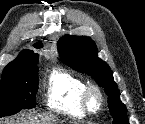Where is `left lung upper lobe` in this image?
<instances>
[{
    "label": "left lung upper lobe",
    "mask_w": 145,
    "mask_h": 124,
    "mask_svg": "<svg viewBox=\"0 0 145 124\" xmlns=\"http://www.w3.org/2000/svg\"><path fill=\"white\" fill-rule=\"evenodd\" d=\"M61 60L72 69L93 77L108 95V106L113 124H129L126 107L113 80L110 67L97 57V47L88 37L64 36L58 41Z\"/></svg>",
    "instance_id": "left-lung-upper-lobe-1"
}]
</instances>
